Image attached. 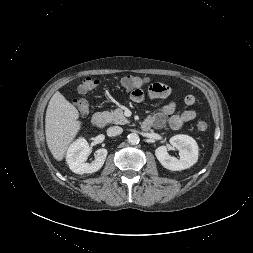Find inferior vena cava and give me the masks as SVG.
Masks as SVG:
<instances>
[{
	"mask_svg": "<svg viewBox=\"0 0 253 253\" xmlns=\"http://www.w3.org/2000/svg\"><path fill=\"white\" fill-rule=\"evenodd\" d=\"M122 132H123V129L119 126H112L107 129V135L110 137L118 136Z\"/></svg>",
	"mask_w": 253,
	"mask_h": 253,
	"instance_id": "obj_1",
	"label": "inferior vena cava"
}]
</instances>
